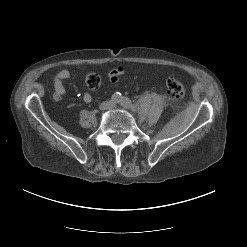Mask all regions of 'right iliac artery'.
I'll list each match as a JSON object with an SVG mask.
<instances>
[{
    "label": "right iliac artery",
    "mask_w": 247,
    "mask_h": 247,
    "mask_svg": "<svg viewBox=\"0 0 247 247\" xmlns=\"http://www.w3.org/2000/svg\"><path fill=\"white\" fill-rule=\"evenodd\" d=\"M121 98H122L121 94L119 92H117V93L113 94L111 101L113 103H120Z\"/></svg>",
    "instance_id": "right-iliac-artery-1"
}]
</instances>
